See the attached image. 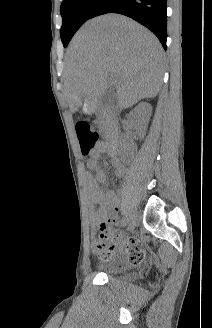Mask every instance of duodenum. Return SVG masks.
<instances>
[{
	"instance_id": "410a0bca",
	"label": "duodenum",
	"mask_w": 212,
	"mask_h": 328,
	"mask_svg": "<svg viewBox=\"0 0 212 328\" xmlns=\"http://www.w3.org/2000/svg\"><path fill=\"white\" fill-rule=\"evenodd\" d=\"M87 110L92 113L102 112L105 118L109 121L108 137L106 141V149L109 154L117 155L119 149V132L114 123V114L110 110H99L94 104L87 105Z\"/></svg>"
}]
</instances>
